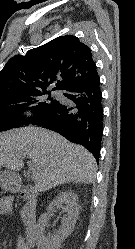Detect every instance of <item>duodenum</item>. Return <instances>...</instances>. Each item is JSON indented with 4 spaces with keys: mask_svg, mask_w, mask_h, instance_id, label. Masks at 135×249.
Here are the masks:
<instances>
[{
    "mask_svg": "<svg viewBox=\"0 0 135 249\" xmlns=\"http://www.w3.org/2000/svg\"><path fill=\"white\" fill-rule=\"evenodd\" d=\"M20 195L23 199H25L28 202L29 207L32 209L29 213V218H28V232L29 234H31V231L33 229V217L35 215L34 209L36 205L37 194L33 187L25 186L22 187Z\"/></svg>",
    "mask_w": 135,
    "mask_h": 249,
    "instance_id": "1",
    "label": "duodenum"
}]
</instances>
